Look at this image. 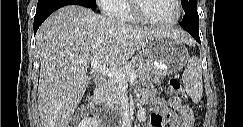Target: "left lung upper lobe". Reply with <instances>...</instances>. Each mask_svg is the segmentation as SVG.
<instances>
[{
  "label": "left lung upper lobe",
  "mask_w": 243,
  "mask_h": 127,
  "mask_svg": "<svg viewBox=\"0 0 243 127\" xmlns=\"http://www.w3.org/2000/svg\"><path fill=\"white\" fill-rule=\"evenodd\" d=\"M182 7L185 13L197 12V0H182Z\"/></svg>",
  "instance_id": "left-lung-upper-lobe-1"
}]
</instances>
